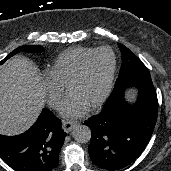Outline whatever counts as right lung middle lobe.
Masks as SVG:
<instances>
[{
  "instance_id": "dd1d6c3e",
  "label": "right lung middle lobe",
  "mask_w": 171,
  "mask_h": 171,
  "mask_svg": "<svg viewBox=\"0 0 171 171\" xmlns=\"http://www.w3.org/2000/svg\"><path fill=\"white\" fill-rule=\"evenodd\" d=\"M20 51L40 52V51H42V47L39 45H27V46L19 47V48L15 49L14 51H12L6 58H4L0 62V64H3L7 59H9L10 57H12L13 55H15L16 53H18Z\"/></svg>"
}]
</instances>
